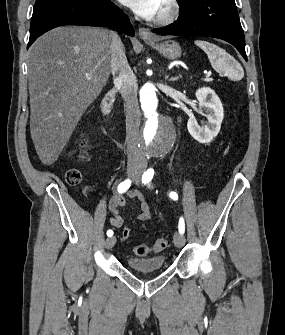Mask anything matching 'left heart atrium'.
I'll use <instances>...</instances> for the list:
<instances>
[{"label":"left heart atrium","mask_w":285,"mask_h":335,"mask_svg":"<svg viewBox=\"0 0 285 335\" xmlns=\"http://www.w3.org/2000/svg\"><path fill=\"white\" fill-rule=\"evenodd\" d=\"M146 20H154L160 13L158 1H120Z\"/></svg>","instance_id":"obj_1"}]
</instances>
